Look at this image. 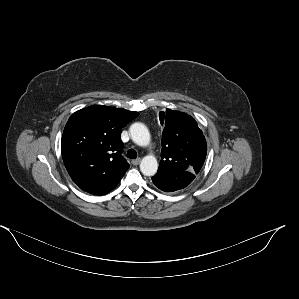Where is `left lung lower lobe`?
<instances>
[{
  "mask_svg": "<svg viewBox=\"0 0 299 299\" xmlns=\"http://www.w3.org/2000/svg\"><path fill=\"white\" fill-rule=\"evenodd\" d=\"M195 176L189 172L160 173L152 177L154 185L164 192H174L188 186Z\"/></svg>",
  "mask_w": 299,
  "mask_h": 299,
  "instance_id": "left-lung-lower-lobe-1",
  "label": "left lung lower lobe"
}]
</instances>
